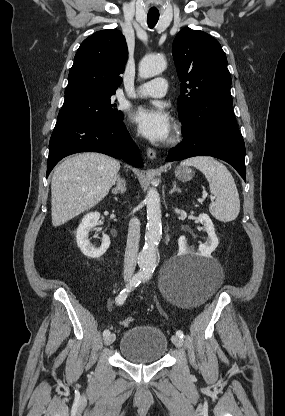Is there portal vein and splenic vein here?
Returning a JSON list of instances; mask_svg holds the SVG:
<instances>
[{
    "instance_id": "obj_1",
    "label": "portal vein and splenic vein",
    "mask_w": 285,
    "mask_h": 416,
    "mask_svg": "<svg viewBox=\"0 0 285 416\" xmlns=\"http://www.w3.org/2000/svg\"><path fill=\"white\" fill-rule=\"evenodd\" d=\"M208 194H206V192H204L202 198H207ZM211 200H215L214 196H210Z\"/></svg>"
}]
</instances>
